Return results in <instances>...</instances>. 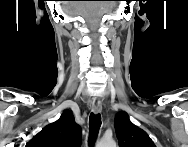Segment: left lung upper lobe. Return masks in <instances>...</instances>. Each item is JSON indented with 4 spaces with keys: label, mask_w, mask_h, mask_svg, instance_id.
<instances>
[{
    "label": "left lung upper lobe",
    "mask_w": 188,
    "mask_h": 147,
    "mask_svg": "<svg viewBox=\"0 0 188 147\" xmlns=\"http://www.w3.org/2000/svg\"><path fill=\"white\" fill-rule=\"evenodd\" d=\"M114 125L119 147H155L148 134L134 125L126 113H118Z\"/></svg>",
    "instance_id": "5c2ea615"
}]
</instances>
